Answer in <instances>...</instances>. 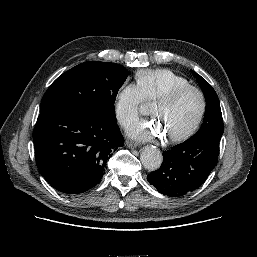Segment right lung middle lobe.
Wrapping results in <instances>:
<instances>
[{"label": "right lung middle lobe", "instance_id": "obj_1", "mask_svg": "<svg viewBox=\"0 0 257 257\" xmlns=\"http://www.w3.org/2000/svg\"><path fill=\"white\" fill-rule=\"evenodd\" d=\"M129 72L121 65L99 61L79 64L47 89L40 113L63 106L84 107L115 117L114 102Z\"/></svg>", "mask_w": 257, "mask_h": 257}]
</instances>
